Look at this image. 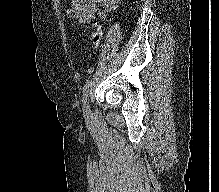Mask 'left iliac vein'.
I'll return each mask as SVG.
<instances>
[{
  "mask_svg": "<svg viewBox=\"0 0 219 192\" xmlns=\"http://www.w3.org/2000/svg\"><path fill=\"white\" fill-rule=\"evenodd\" d=\"M83 113L85 116L90 115L89 102L87 100L85 102H83Z\"/></svg>",
  "mask_w": 219,
  "mask_h": 192,
  "instance_id": "1",
  "label": "left iliac vein"
}]
</instances>
